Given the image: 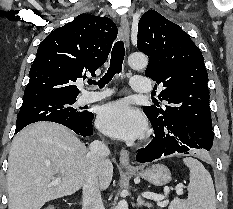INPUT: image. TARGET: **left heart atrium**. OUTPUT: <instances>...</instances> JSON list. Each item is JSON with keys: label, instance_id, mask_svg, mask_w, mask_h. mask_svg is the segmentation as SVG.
Returning <instances> with one entry per match:
<instances>
[{"label": "left heart atrium", "instance_id": "left-heart-atrium-1", "mask_svg": "<svg viewBox=\"0 0 233 209\" xmlns=\"http://www.w3.org/2000/svg\"><path fill=\"white\" fill-rule=\"evenodd\" d=\"M97 124L107 135L128 140L140 137L146 126L142 115L123 100L102 106Z\"/></svg>", "mask_w": 233, "mask_h": 209}]
</instances>
